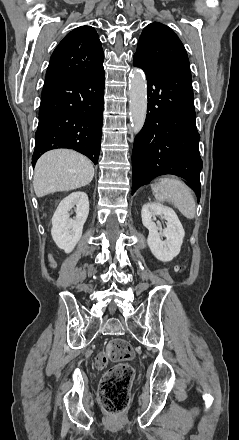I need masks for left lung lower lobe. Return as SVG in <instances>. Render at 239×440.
Segmentation results:
<instances>
[{"instance_id": "obj_1", "label": "left lung lower lobe", "mask_w": 239, "mask_h": 440, "mask_svg": "<svg viewBox=\"0 0 239 440\" xmlns=\"http://www.w3.org/2000/svg\"><path fill=\"white\" fill-rule=\"evenodd\" d=\"M133 65L147 76L148 105L145 124L132 153V194L138 184L173 174L189 181L200 199L199 133L189 68L148 64L134 56Z\"/></svg>"}]
</instances>
